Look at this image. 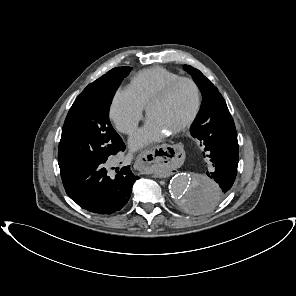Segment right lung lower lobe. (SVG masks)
Instances as JSON below:
<instances>
[{
  "label": "right lung lower lobe",
  "instance_id": "98d812e1",
  "mask_svg": "<svg viewBox=\"0 0 296 296\" xmlns=\"http://www.w3.org/2000/svg\"><path fill=\"white\" fill-rule=\"evenodd\" d=\"M125 150L124 149L121 151ZM103 158L61 172L67 195L81 208L96 214H113L128 202L134 182L139 179L130 166L123 167L115 176L107 174Z\"/></svg>",
  "mask_w": 296,
  "mask_h": 296
}]
</instances>
